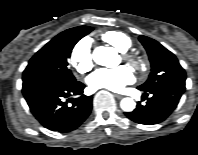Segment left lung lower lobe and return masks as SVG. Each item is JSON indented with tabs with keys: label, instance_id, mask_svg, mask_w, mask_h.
<instances>
[{
	"label": "left lung lower lobe",
	"instance_id": "left-lung-lower-lobe-1",
	"mask_svg": "<svg viewBox=\"0 0 198 155\" xmlns=\"http://www.w3.org/2000/svg\"><path fill=\"white\" fill-rule=\"evenodd\" d=\"M184 91L185 87L179 85H163L150 91H144V97L151 94L146 105H141L138 102L137 108L125 115L139 124H158L164 121L177 107Z\"/></svg>",
	"mask_w": 198,
	"mask_h": 155
}]
</instances>
